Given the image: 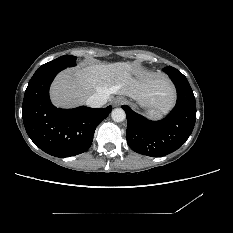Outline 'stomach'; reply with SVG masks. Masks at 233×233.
<instances>
[{"mask_svg":"<svg viewBox=\"0 0 233 233\" xmlns=\"http://www.w3.org/2000/svg\"><path fill=\"white\" fill-rule=\"evenodd\" d=\"M134 108L140 107L142 110L145 111V113L152 119H158L161 118L163 114L166 113L168 109H163L161 107H158L156 105H143L140 102H137L133 104Z\"/></svg>","mask_w":233,"mask_h":233,"instance_id":"0dacf381","label":"stomach"}]
</instances>
